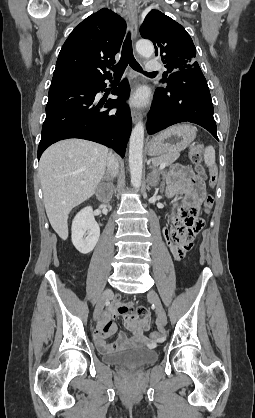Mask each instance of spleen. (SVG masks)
<instances>
[{"mask_svg":"<svg viewBox=\"0 0 255 418\" xmlns=\"http://www.w3.org/2000/svg\"><path fill=\"white\" fill-rule=\"evenodd\" d=\"M204 162L207 167H212L215 164V149L212 146L206 147L204 151Z\"/></svg>","mask_w":255,"mask_h":418,"instance_id":"obj_1","label":"spleen"}]
</instances>
